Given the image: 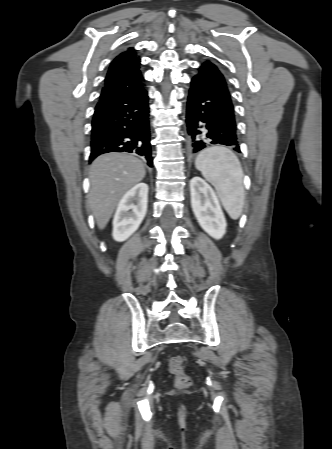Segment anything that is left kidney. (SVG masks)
<instances>
[{
	"label": "left kidney",
	"mask_w": 332,
	"mask_h": 449,
	"mask_svg": "<svg viewBox=\"0 0 332 449\" xmlns=\"http://www.w3.org/2000/svg\"><path fill=\"white\" fill-rule=\"evenodd\" d=\"M191 207L201 228L214 239L226 233V220L219 200L211 186L201 177L190 181Z\"/></svg>",
	"instance_id": "1"
}]
</instances>
